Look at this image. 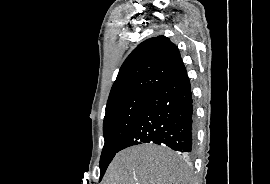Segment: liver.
<instances>
[{"label": "liver", "mask_w": 270, "mask_h": 184, "mask_svg": "<svg viewBox=\"0 0 270 184\" xmlns=\"http://www.w3.org/2000/svg\"><path fill=\"white\" fill-rule=\"evenodd\" d=\"M189 172L176 165L171 152L153 144L120 151L110 163L104 184H188Z\"/></svg>", "instance_id": "liver-1"}]
</instances>
